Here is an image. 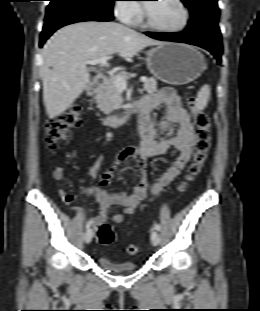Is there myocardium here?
Segmentation results:
<instances>
[{
	"instance_id": "f54148a6",
	"label": "myocardium",
	"mask_w": 260,
	"mask_h": 311,
	"mask_svg": "<svg viewBox=\"0 0 260 311\" xmlns=\"http://www.w3.org/2000/svg\"><path fill=\"white\" fill-rule=\"evenodd\" d=\"M175 2L180 6V8L183 11V20L180 23V25L173 27V28H165V27H160L158 25H156L155 23H153V21L150 19L149 16V11L147 8V5L144 4L142 7V13H143V20L145 25L152 29L155 30L157 32H161V33H178L181 32L183 30H185L190 22V11L188 6L186 5V3L184 2V0H175Z\"/></svg>"
}]
</instances>
